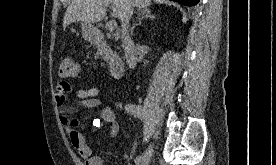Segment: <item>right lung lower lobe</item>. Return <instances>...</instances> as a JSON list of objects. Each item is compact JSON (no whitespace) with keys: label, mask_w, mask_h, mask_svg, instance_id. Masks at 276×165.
<instances>
[{"label":"right lung lower lobe","mask_w":276,"mask_h":165,"mask_svg":"<svg viewBox=\"0 0 276 165\" xmlns=\"http://www.w3.org/2000/svg\"><path fill=\"white\" fill-rule=\"evenodd\" d=\"M173 1L179 2L186 6H194L199 2V0H173Z\"/></svg>","instance_id":"obj_1"}]
</instances>
